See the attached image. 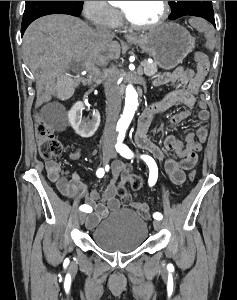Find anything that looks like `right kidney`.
Wrapping results in <instances>:
<instances>
[{
  "instance_id": "right-kidney-1",
  "label": "right kidney",
  "mask_w": 237,
  "mask_h": 300,
  "mask_svg": "<svg viewBox=\"0 0 237 300\" xmlns=\"http://www.w3.org/2000/svg\"><path fill=\"white\" fill-rule=\"evenodd\" d=\"M83 109H85L83 103L77 101L71 111H69V121L77 135L88 139V137H93L100 125V113L94 109L91 119L89 117L85 119L83 117Z\"/></svg>"
}]
</instances>
